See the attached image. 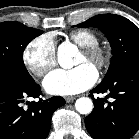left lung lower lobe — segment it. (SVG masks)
Segmentation results:
<instances>
[{
    "instance_id": "left-lung-lower-lobe-1",
    "label": "left lung lower lobe",
    "mask_w": 139,
    "mask_h": 139,
    "mask_svg": "<svg viewBox=\"0 0 139 139\" xmlns=\"http://www.w3.org/2000/svg\"><path fill=\"white\" fill-rule=\"evenodd\" d=\"M105 92L114 101L94 99V109L85 119L87 131L94 139L131 138L139 129V61L127 65L112 80L91 91Z\"/></svg>"
}]
</instances>
